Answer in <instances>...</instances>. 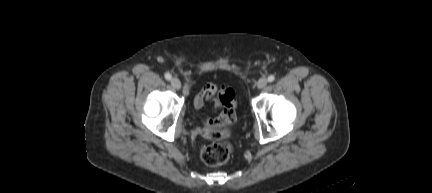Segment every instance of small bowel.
I'll return each instance as SVG.
<instances>
[{
    "instance_id": "small-bowel-1",
    "label": "small bowel",
    "mask_w": 432,
    "mask_h": 193,
    "mask_svg": "<svg viewBox=\"0 0 432 193\" xmlns=\"http://www.w3.org/2000/svg\"><path fill=\"white\" fill-rule=\"evenodd\" d=\"M216 92L217 87L212 83H207L195 96V108L202 109L206 101L214 100L216 109H220L222 105L215 99ZM236 121L234 110L223 108L218 116L205 118L203 134L207 138L226 137L230 134Z\"/></svg>"
}]
</instances>
